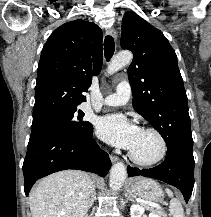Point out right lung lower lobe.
Wrapping results in <instances>:
<instances>
[{
	"instance_id": "right-lung-lower-lobe-1",
	"label": "right lung lower lobe",
	"mask_w": 211,
	"mask_h": 217,
	"mask_svg": "<svg viewBox=\"0 0 211 217\" xmlns=\"http://www.w3.org/2000/svg\"><path fill=\"white\" fill-rule=\"evenodd\" d=\"M76 139L56 131L31 132L23 163L26 196L40 178L54 172L77 169L105 176L111 161L92 138Z\"/></svg>"
}]
</instances>
